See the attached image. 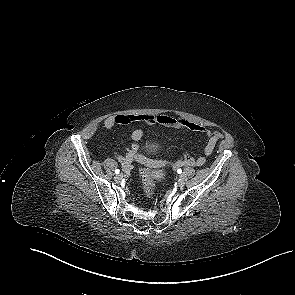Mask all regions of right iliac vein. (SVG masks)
Masks as SVG:
<instances>
[{"label":"right iliac vein","instance_id":"right-iliac-vein-1","mask_svg":"<svg viewBox=\"0 0 295 295\" xmlns=\"http://www.w3.org/2000/svg\"><path fill=\"white\" fill-rule=\"evenodd\" d=\"M122 178H123L122 174H118V175L115 176L116 181H120Z\"/></svg>","mask_w":295,"mask_h":295}]
</instances>
